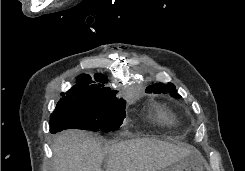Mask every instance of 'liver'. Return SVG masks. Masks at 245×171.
Here are the masks:
<instances>
[{"mask_svg": "<svg viewBox=\"0 0 245 171\" xmlns=\"http://www.w3.org/2000/svg\"><path fill=\"white\" fill-rule=\"evenodd\" d=\"M54 171H160L196 151L168 142L139 138L101 147L92 134L80 130L60 133L53 146Z\"/></svg>", "mask_w": 245, "mask_h": 171, "instance_id": "1", "label": "liver"}]
</instances>
